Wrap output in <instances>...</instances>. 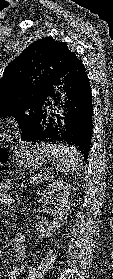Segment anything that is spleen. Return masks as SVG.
<instances>
[{"label": "spleen", "instance_id": "spleen-1", "mask_svg": "<svg viewBox=\"0 0 113 279\" xmlns=\"http://www.w3.org/2000/svg\"><path fill=\"white\" fill-rule=\"evenodd\" d=\"M40 146L53 156L55 164L61 172L74 171L81 161L80 152L73 146L44 142Z\"/></svg>", "mask_w": 113, "mask_h": 279}]
</instances>
